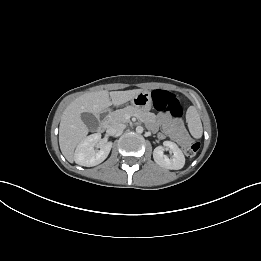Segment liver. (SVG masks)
<instances>
[{
	"label": "liver",
	"mask_w": 261,
	"mask_h": 261,
	"mask_svg": "<svg viewBox=\"0 0 261 261\" xmlns=\"http://www.w3.org/2000/svg\"><path fill=\"white\" fill-rule=\"evenodd\" d=\"M142 91L141 89L112 92L101 90L85 93L72 101L64 110L59 126V145L64 157L69 162H73L76 146L89 132L81 119L82 113L98 115L112 105L119 106L130 101Z\"/></svg>",
	"instance_id": "6515ba94"
}]
</instances>
